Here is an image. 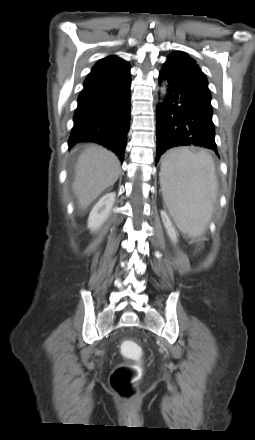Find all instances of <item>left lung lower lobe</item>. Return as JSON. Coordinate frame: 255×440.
<instances>
[{"instance_id": "0a47b994", "label": "left lung lower lobe", "mask_w": 255, "mask_h": 440, "mask_svg": "<svg viewBox=\"0 0 255 440\" xmlns=\"http://www.w3.org/2000/svg\"><path fill=\"white\" fill-rule=\"evenodd\" d=\"M159 82H165L168 93L157 107L156 161L168 149L194 145L217 153L212 122L211 97L190 87L162 67Z\"/></svg>"}]
</instances>
